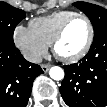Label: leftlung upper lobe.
<instances>
[{
	"instance_id": "obj_1",
	"label": "left lung upper lobe",
	"mask_w": 107,
	"mask_h": 107,
	"mask_svg": "<svg viewBox=\"0 0 107 107\" xmlns=\"http://www.w3.org/2000/svg\"><path fill=\"white\" fill-rule=\"evenodd\" d=\"M75 7L82 10L92 22L94 37L107 32V10L87 2H75Z\"/></svg>"
}]
</instances>
